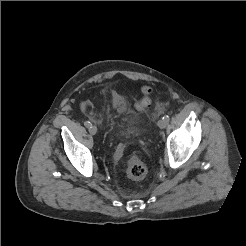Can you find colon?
I'll use <instances>...</instances> for the list:
<instances>
[{
    "instance_id": "colon-1",
    "label": "colon",
    "mask_w": 246,
    "mask_h": 246,
    "mask_svg": "<svg viewBox=\"0 0 246 246\" xmlns=\"http://www.w3.org/2000/svg\"><path fill=\"white\" fill-rule=\"evenodd\" d=\"M150 94L151 89L149 87L142 88V96L135 104L138 110H145L150 107ZM126 173L132 180H142L147 174V168L141 159L137 156H132L127 163Z\"/></svg>"
}]
</instances>
